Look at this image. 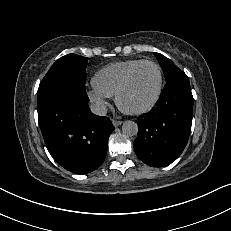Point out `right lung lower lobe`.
<instances>
[{
    "instance_id": "1",
    "label": "right lung lower lobe",
    "mask_w": 231,
    "mask_h": 231,
    "mask_svg": "<svg viewBox=\"0 0 231 231\" xmlns=\"http://www.w3.org/2000/svg\"><path fill=\"white\" fill-rule=\"evenodd\" d=\"M84 84L66 79L38 92V119L47 148L68 171L87 174L104 162L114 127L93 114Z\"/></svg>"
}]
</instances>
